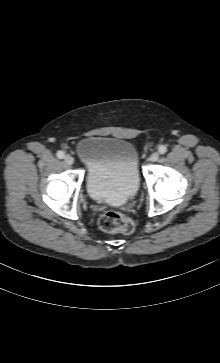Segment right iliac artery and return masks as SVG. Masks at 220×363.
Segmentation results:
<instances>
[{
	"label": "right iliac artery",
	"mask_w": 220,
	"mask_h": 363,
	"mask_svg": "<svg viewBox=\"0 0 220 363\" xmlns=\"http://www.w3.org/2000/svg\"><path fill=\"white\" fill-rule=\"evenodd\" d=\"M56 155H57V157H58L59 159H62V158H64V156H65V154H64V152H63V151H58Z\"/></svg>",
	"instance_id": "obj_1"
}]
</instances>
